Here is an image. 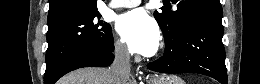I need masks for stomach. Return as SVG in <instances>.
<instances>
[{
  "label": "stomach",
  "mask_w": 260,
  "mask_h": 84,
  "mask_svg": "<svg viewBox=\"0 0 260 84\" xmlns=\"http://www.w3.org/2000/svg\"><path fill=\"white\" fill-rule=\"evenodd\" d=\"M149 84H185L177 75H160L149 81Z\"/></svg>",
  "instance_id": "1"
}]
</instances>
